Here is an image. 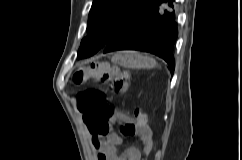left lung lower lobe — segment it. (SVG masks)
<instances>
[{
	"label": "left lung lower lobe",
	"instance_id": "1",
	"mask_svg": "<svg viewBox=\"0 0 242 160\" xmlns=\"http://www.w3.org/2000/svg\"><path fill=\"white\" fill-rule=\"evenodd\" d=\"M175 0H153L121 33L105 47L104 53L115 50H139L163 58L173 73V46L178 35Z\"/></svg>",
	"mask_w": 242,
	"mask_h": 160
}]
</instances>
